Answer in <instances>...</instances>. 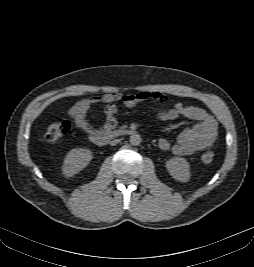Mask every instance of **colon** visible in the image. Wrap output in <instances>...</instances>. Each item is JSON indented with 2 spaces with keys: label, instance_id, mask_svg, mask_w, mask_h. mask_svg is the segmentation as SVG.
<instances>
[{
  "label": "colon",
  "instance_id": "obj_1",
  "mask_svg": "<svg viewBox=\"0 0 254 267\" xmlns=\"http://www.w3.org/2000/svg\"><path fill=\"white\" fill-rule=\"evenodd\" d=\"M71 129V124L68 121H59L50 124L47 127L45 138L49 142H55L64 137ZM214 159V154L211 151L205 152L201 156V161L204 164H210Z\"/></svg>",
  "mask_w": 254,
  "mask_h": 267
}]
</instances>
